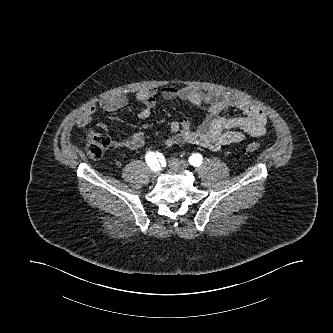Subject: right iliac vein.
I'll return each mask as SVG.
<instances>
[{
	"mask_svg": "<svg viewBox=\"0 0 333 333\" xmlns=\"http://www.w3.org/2000/svg\"><path fill=\"white\" fill-rule=\"evenodd\" d=\"M158 170H152V173H151V175H152V177H156V176H158Z\"/></svg>",
	"mask_w": 333,
	"mask_h": 333,
	"instance_id": "obj_1",
	"label": "right iliac vein"
}]
</instances>
